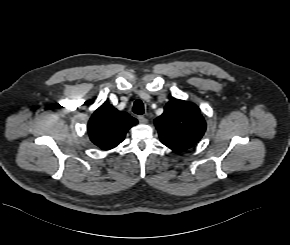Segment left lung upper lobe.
Instances as JSON below:
<instances>
[{"label":"left lung upper lobe","mask_w":290,"mask_h":245,"mask_svg":"<svg viewBox=\"0 0 290 245\" xmlns=\"http://www.w3.org/2000/svg\"><path fill=\"white\" fill-rule=\"evenodd\" d=\"M155 125L160 141L177 152L196 144L206 129L200 109L194 103L179 99L166 104L164 113L155 119Z\"/></svg>","instance_id":"left-lung-upper-lobe-1"}]
</instances>
